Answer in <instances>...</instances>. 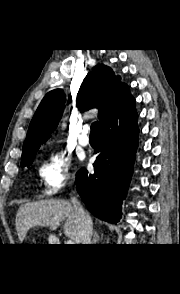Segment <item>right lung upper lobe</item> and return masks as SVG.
<instances>
[{"label":"right lung upper lobe","instance_id":"obj_1","mask_svg":"<svg viewBox=\"0 0 180 294\" xmlns=\"http://www.w3.org/2000/svg\"><path fill=\"white\" fill-rule=\"evenodd\" d=\"M132 98L128 86L120 81V77L110 67L99 64L84 78L77 94V106L82 111L98 108L101 125ZM64 103L62 89L52 90L43 98L30 123L21 161L36 155L49 138L62 116Z\"/></svg>","mask_w":180,"mask_h":294}]
</instances>
